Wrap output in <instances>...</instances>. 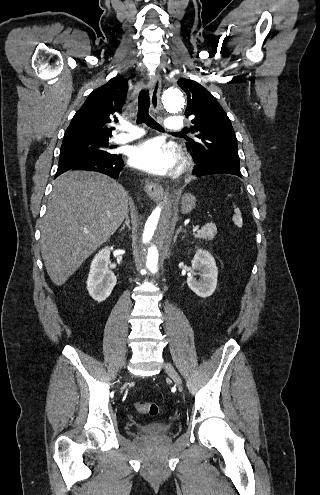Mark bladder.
<instances>
[{"label": "bladder", "instance_id": "bladder-1", "mask_svg": "<svg viewBox=\"0 0 320 495\" xmlns=\"http://www.w3.org/2000/svg\"><path fill=\"white\" fill-rule=\"evenodd\" d=\"M138 430L140 433L146 435H162L169 433L171 426L165 422H150L141 424Z\"/></svg>", "mask_w": 320, "mask_h": 495}]
</instances>
